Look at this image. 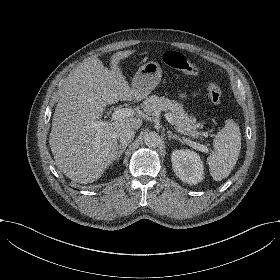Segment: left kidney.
I'll return each instance as SVG.
<instances>
[{
  "label": "left kidney",
  "mask_w": 280,
  "mask_h": 280,
  "mask_svg": "<svg viewBox=\"0 0 280 280\" xmlns=\"http://www.w3.org/2000/svg\"><path fill=\"white\" fill-rule=\"evenodd\" d=\"M172 168L183 182L197 184L204 180V163L199 154L190 149H177L171 154Z\"/></svg>",
  "instance_id": "1"
}]
</instances>
